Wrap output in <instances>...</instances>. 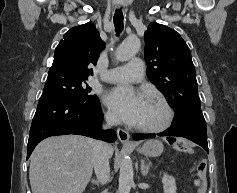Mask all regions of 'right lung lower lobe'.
<instances>
[{
	"instance_id": "1",
	"label": "right lung lower lobe",
	"mask_w": 237,
	"mask_h": 193,
	"mask_svg": "<svg viewBox=\"0 0 237 193\" xmlns=\"http://www.w3.org/2000/svg\"><path fill=\"white\" fill-rule=\"evenodd\" d=\"M103 113L100 102L76 105L57 97H41L32 120L27 145V159L36 145L50 136L78 134L113 142V130L103 131Z\"/></svg>"
}]
</instances>
